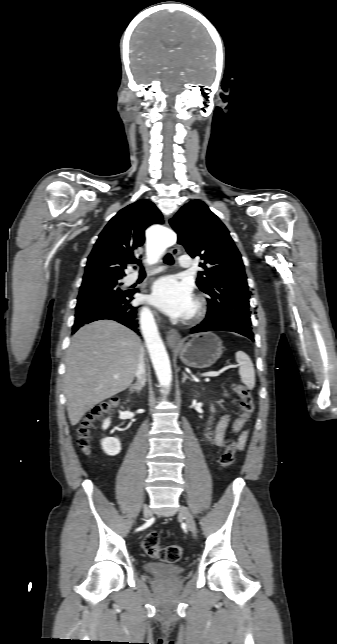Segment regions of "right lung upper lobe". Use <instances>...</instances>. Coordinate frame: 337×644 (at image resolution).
I'll return each mask as SVG.
<instances>
[{
    "label": "right lung upper lobe",
    "instance_id": "cb5924a9",
    "mask_svg": "<svg viewBox=\"0 0 337 644\" xmlns=\"http://www.w3.org/2000/svg\"><path fill=\"white\" fill-rule=\"evenodd\" d=\"M162 223L161 212L148 200H138L121 209L100 233L88 257L83 281L125 276L124 269L145 241V229Z\"/></svg>",
    "mask_w": 337,
    "mask_h": 644
}]
</instances>
